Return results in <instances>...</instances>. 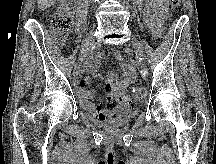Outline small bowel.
Instances as JSON below:
<instances>
[{"label": "small bowel", "mask_w": 216, "mask_h": 164, "mask_svg": "<svg viewBox=\"0 0 216 164\" xmlns=\"http://www.w3.org/2000/svg\"><path fill=\"white\" fill-rule=\"evenodd\" d=\"M168 2L169 0H147L146 18L156 35L160 32ZM99 59V54H92L86 62L85 71L91 74L94 73ZM121 72L120 77L111 73L106 76L108 103L106 106H103L102 104H95L92 101L95 97V92L87 88L90 83V78L82 76L79 70L75 71L74 81L77 93L84 109L93 118L97 120H108L116 115V111L119 108L116 95L123 93L122 91L135 81L136 68L134 62L128 61L123 63Z\"/></svg>", "instance_id": "1"}]
</instances>
